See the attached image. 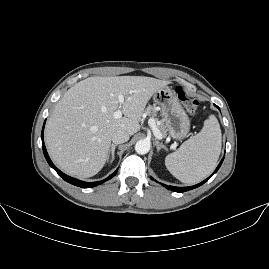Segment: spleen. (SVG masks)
Here are the masks:
<instances>
[{
  "instance_id": "3e777b00",
  "label": "spleen",
  "mask_w": 269,
  "mask_h": 269,
  "mask_svg": "<svg viewBox=\"0 0 269 269\" xmlns=\"http://www.w3.org/2000/svg\"><path fill=\"white\" fill-rule=\"evenodd\" d=\"M221 151V129L211 116L204 129L181 145L176 153L166 156L167 170L183 183H197L215 168Z\"/></svg>"
}]
</instances>
